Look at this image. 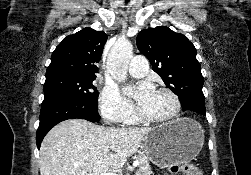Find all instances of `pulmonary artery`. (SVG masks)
Returning a JSON list of instances; mask_svg holds the SVG:
<instances>
[{"instance_id":"1","label":"pulmonary artery","mask_w":251,"mask_h":175,"mask_svg":"<svg viewBox=\"0 0 251 175\" xmlns=\"http://www.w3.org/2000/svg\"><path fill=\"white\" fill-rule=\"evenodd\" d=\"M147 70V58H144L143 55H135L133 62L128 67V72L135 77L146 76Z\"/></svg>"}]
</instances>
